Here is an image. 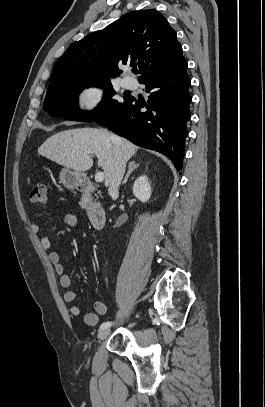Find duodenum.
Here are the masks:
<instances>
[{
    "instance_id": "1",
    "label": "duodenum",
    "mask_w": 265,
    "mask_h": 407,
    "mask_svg": "<svg viewBox=\"0 0 265 407\" xmlns=\"http://www.w3.org/2000/svg\"><path fill=\"white\" fill-rule=\"evenodd\" d=\"M79 190L87 194V213L93 228L101 230L106 223V212L103 207L90 200V195L95 190L94 185L90 180H83L79 184Z\"/></svg>"
}]
</instances>
